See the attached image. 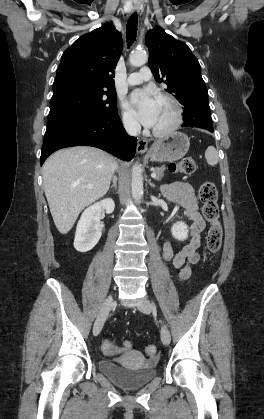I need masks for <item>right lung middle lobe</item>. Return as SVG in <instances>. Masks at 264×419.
Masks as SVG:
<instances>
[{
  "label": "right lung middle lobe",
  "instance_id": "obj_1",
  "mask_svg": "<svg viewBox=\"0 0 264 419\" xmlns=\"http://www.w3.org/2000/svg\"><path fill=\"white\" fill-rule=\"evenodd\" d=\"M116 113L115 90L70 85L54 91L47 127L68 115H110Z\"/></svg>",
  "mask_w": 264,
  "mask_h": 419
}]
</instances>
